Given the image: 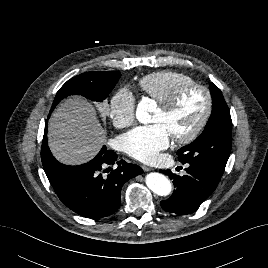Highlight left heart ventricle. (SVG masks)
Listing matches in <instances>:
<instances>
[{
	"mask_svg": "<svg viewBox=\"0 0 268 268\" xmlns=\"http://www.w3.org/2000/svg\"><path fill=\"white\" fill-rule=\"evenodd\" d=\"M205 106V94L201 90L193 89L184 94L170 114H164L158 107L152 122L163 124L171 137L183 136L195 127Z\"/></svg>",
	"mask_w": 268,
	"mask_h": 268,
	"instance_id": "1",
	"label": "left heart ventricle"
}]
</instances>
